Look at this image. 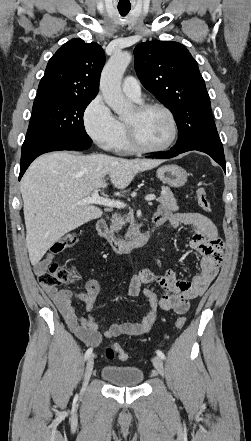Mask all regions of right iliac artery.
<instances>
[{
    "instance_id": "right-iliac-artery-1",
    "label": "right iliac artery",
    "mask_w": 251,
    "mask_h": 441,
    "mask_svg": "<svg viewBox=\"0 0 251 441\" xmlns=\"http://www.w3.org/2000/svg\"><path fill=\"white\" fill-rule=\"evenodd\" d=\"M92 351H93L92 348H89V349L86 351V353H85V360H87V359L91 356Z\"/></svg>"
}]
</instances>
